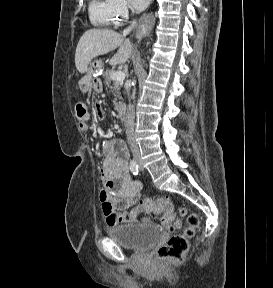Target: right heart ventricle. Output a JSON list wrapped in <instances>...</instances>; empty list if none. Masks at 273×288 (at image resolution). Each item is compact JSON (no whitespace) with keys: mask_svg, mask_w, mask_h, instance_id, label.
<instances>
[{"mask_svg":"<svg viewBox=\"0 0 273 288\" xmlns=\"http://www.w3.org/2000/svg\"><path fill=\"white\" fill-rule=\"evenodd\" d=\"M89 15L95 25L103 27L117 25L107 0H92L89 5Z\"/></svg>","mask_w":273,"mask_h":288,"instance_id":"1","label":"right heart ventricle"}]
</instances>
